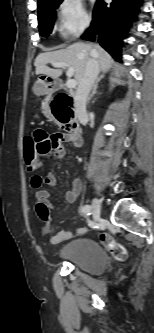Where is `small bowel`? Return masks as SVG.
Masks as SVG:
<instances>
[{
  "instance_id": "1",
  "label": "small bowel",
  "mask_w": 154,
  "mask_h": 333,
  "mask_svg": "<svg viewBox=\"0 0 154 333\" xmlns=\"http://www.w3.org/2000/svg\"><path fill=\"white\" fill-rule=\"evenodd\" d=\"M33 138L36 142L37 155L40 158L54 157L61 159L65 155L64 143L70 142L75 146H80L82 143L81 137L74 136L71 132H57L54 134H47L44 130L38 129L34 132ZM56 177L52 173H47L44 176L34 175L31 178V185L36 191V212L41 221L43 227L41 234L47 235L50 231V210L53 208L50 193L42 187L44 185L55 186ZM82 190V182L79 178L74 177L71 183V187L65 192V199L69 203H73ZM78 231H82L79 229ZM71 231H60L56 235L50 238L52 244H59L72 237Z\"/></svg>"
}]
</instances>
